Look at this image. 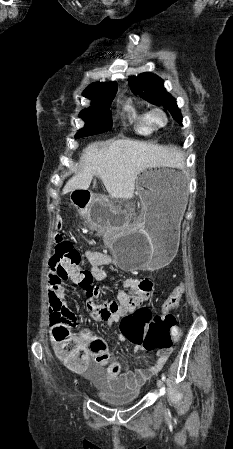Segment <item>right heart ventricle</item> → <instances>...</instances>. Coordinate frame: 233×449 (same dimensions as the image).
<instances>
[{"mask_svg":"<svg viewBox=\"0 0 233 449\" xmlns=\"http://www.w3.org/2000/svg\"><path fill=\"white\" fill-rule=\"evenodd\" d=\"M135 132L139 135H150L156 129L149 117V110L133 98H127L122 106Z\"/></svg>","mask_w":233,"mask_h":449,"instance_id":"right-heart-ventricle-1","label":"right heart ventricle"}]
</instances>
